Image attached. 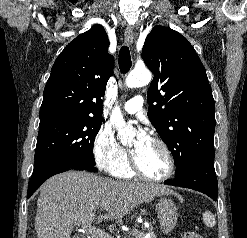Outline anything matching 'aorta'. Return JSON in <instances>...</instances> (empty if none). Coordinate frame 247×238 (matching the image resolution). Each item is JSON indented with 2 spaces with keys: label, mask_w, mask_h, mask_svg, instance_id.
Returning a JSON list of instances; mask_svg holds the SVG:
<instances>
[{
  "label": "aorta",
  "mask_w": 247,
  "mask_h": 238,
  "mask_svg": "<svg viewBox=\"0 0 247 238\" xmlns=\"http://www.w3.org/2000/svg\"><path fill=\"white\" fill-rule=\"evenodd\" d=\"M151 73L146 70H133L126 78V86L128 88L142 87L150 83ZM110 121L118 132V137L122 144L130 142L135 133L130 127H126V123L119 108H115L111 114Z\"/></svg>",
  "instance_id": "obj_1"
}]
</instances>
